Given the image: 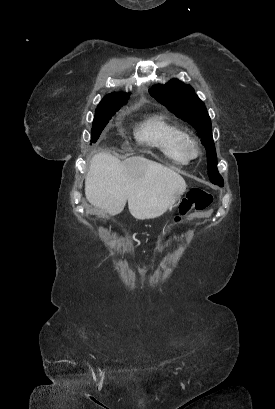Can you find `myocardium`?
<instances>
[{
    "label": "myocardium",
    "instance_id": "f54148a6",
    "mask_svg": "<svg viewBox=\"0 0 275 409\" xmlns=\"http://www.w3.org/2000/svg\"><path fill=\"white\" fill-rule=\"evenodd\" d=\"M178 153L180 157H196L198 155V145L196 141L186 135L179 142Z\"/></svg>",
    "mask_w": 275,
    "mask_h": 409
}]
</instances>
